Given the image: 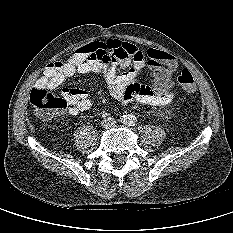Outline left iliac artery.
Wrapping results in <instances>:
<instances>
[{"label":"left iliac artery","instance_id":"obj_1","mask_svg":"<svg viewBox=\"0 0 233 233\" xmlns=\"http://www.w3.org/2000/svg\"><path fill=\"white\" fill-rule=\"evenodd\" d=\"M130 124H131L130 126H132V124L134 125V122H133V120H132V119H131V121H130Z\"/></svg>","mask_w":233,"mask_h":233}]
</instances>
